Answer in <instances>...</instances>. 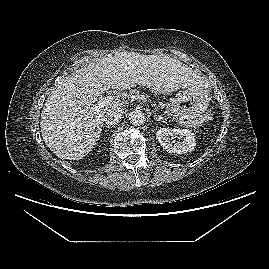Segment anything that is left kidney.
<instances>
[{"mask_svg": "<svg viewBox=\"0 0 269 269\" xmlns=\"http://www.w3.org/2000/svg\"><path fill=\"white\" fill-rule=\"evenodd\" d=\"M159 143L169 153L183 154L192 151L196 146L195 135L188 129L161 128L156 132ZM182 139L175 141L173 139Z\"/></svg>", "mask_w": 269, "mask_h": 269, "instance_id": "1", "label": "left kidney"}]
</instances>
